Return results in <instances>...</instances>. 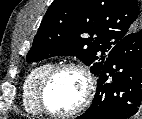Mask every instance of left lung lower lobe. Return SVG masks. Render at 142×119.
Masks as SVG:
<instances>
[{"instance_id":"left-lung-lower-lobe-1","label":"left lung lower lobe","mask_w":142,"mask_h":119,"mask_svg":"<svg viewBox=\"0 0 142 119\" xmlns=\"http://www.w3.org/2000/svg\"><path fill=\"white\" fill-rule=\"evenodd\" d=\"M97 76L93 102L77 119H129L142 112V29L109 51Z\"/></svg>"}]
</instances>
